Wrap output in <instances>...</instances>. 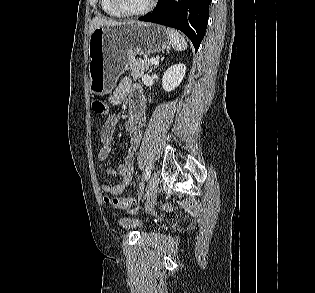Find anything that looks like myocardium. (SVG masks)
Listing matches in <instances>:
<instances>
[{
    "instance_id": "myocardium-1",
    "label": "myocardium",
    "mask_w": 315,
    "mask_h": 293,
    "mask_svg": "<svg viewBox=\"0 0 315 293\" xmlns=\"http://www.w3.org/2000/svg\"><path fill=\"white\" fill-rule=\"evenodd\" d=\"M156 1L157 0H150L149 3L140 10H129L124 6L122 0H111L114 9L121 15L127 17L141 16L150 12L154 8Z\"/></svg>"
}]
</instances>
